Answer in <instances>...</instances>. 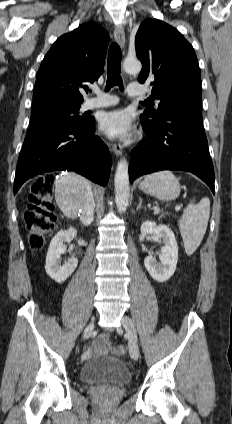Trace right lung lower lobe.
<instances>
[{
  "mask_svg": "<svg viewBox=\"0 0 232 424\" xmlns=\"http://www.w3.org/2000/svg\"><path fill=\"white\" fill-rule=\"evenodd\" d=\"M94 130V120L81 126L31 124L17 162L14 194L29 178L54 170L75 171L105 186L111 156Z\"/></svg>",
  "mask_w": 232,
  "mask_h": 424,
  "instance_id": "obj_1",
  "label": "right lung lower lobe"
}]
</instances>
